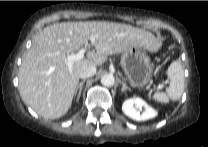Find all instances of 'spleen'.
<instances>
[{"label":"spleen","instance_id":"spleen-1","mask_svg":"<svg viewBox=\"0 0 208 147\" xmlns=\"http://www.w3.org/2000/svg\"><path fill=\"white\" fill-rule=\"evenodd\" d=\"M166 74L170 80L165 92H156L153 99L157 102L167 104L169 100H178L184 91V73L179 61H173L168 67Z\"/></svg>","mask_w":208,"mask_h":147}]
</instances>
